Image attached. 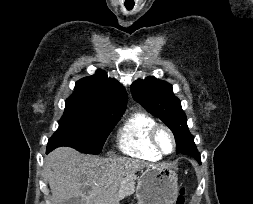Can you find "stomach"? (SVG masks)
I'll list each match as a JSON object with an SVG mask.
<instances>
[{"instance_id": "obj_1", "label": "stomach", "mask_w": 253, "mask_h": 204, "mask_svg": "<svg viewBox=\"0 0 253 204\" xmlns=\"http://www.w3.org/2000/svg\"><path fill=\"white\" fill-rule=\"evenodd\" d=\"M178 196V175L168 165H149L137 179L138 204H173Z\"/></svg>"}]
</instances>
